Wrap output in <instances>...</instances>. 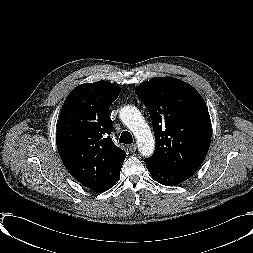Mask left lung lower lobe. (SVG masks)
Listing matches in <instances>:
<instances>
[{"label":"left lung lower lobe","instance_id":"obj_1","mask_svg":"<svg viewBox=\"0 0 253 253\" xmlns=\"http://www.w3.org/2000/svg\"><path fill=\"white\" fill-rule=\"evenodd\" d=\"M146 167L157 182L166 186L178 185L194 174V172L162 170L147 165Z\"/></svg>","mask_w":253,"mask_h":253}]
</instances>
